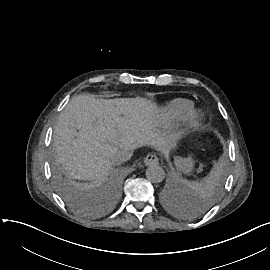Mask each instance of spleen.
I'll list each match as a JSON object with an SVG mask.
<instances>
[{
  "label": "spleen",
  "instance_id": "1",
  "mask_svg": "<svg viewBox=\"0 0 270 270\" xmlns=\"http://www.w3.org/2000/svg\"><path fill=\"white\" fill-rule=\"evenodd\" d=\"M220 180V173L217 170H213L209 177L205 180L206 184H218ZM187 187L189 188H197L201 186V183L197 182H189L186 181ZM186 201H188V198H186Z\"/></svg>",
  "mask_w": 270,
  "mask_h": 270
}]
</instances>
